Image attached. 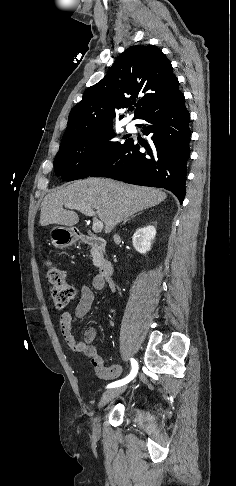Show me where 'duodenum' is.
I'll return each mask as SVG.
<instances>
[{"mask_svg": "<svg viewBox=\"0 0 236 486\" xmlns=\"http://www.w3.org/2000/svg\"><path fill=\"white\" fill-rule=\"evenodd\" d=\"M78 239L81 243L90 246L99 257V277L107 281L113 274V265L104 257L105 241L94 235L78 233Z\"/></svg>", "mask_w": 236, "mask_h": 486, "instance_id": "410a0bca", "label": "duodenum"}]
</instances>
